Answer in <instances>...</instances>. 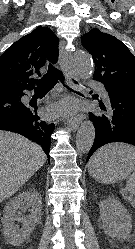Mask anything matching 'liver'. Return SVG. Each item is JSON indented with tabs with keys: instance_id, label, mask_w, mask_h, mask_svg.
I'll return each mask as SVG.
<instances>
[{
	"instance_id": "obj_1",
	"label": "liver",
	"mask_w": 135,
	"mask_h": 249,
	"mask_svg": "<svg viewBox=\"0 0 135 249\" xmlns=\"http://www.w3.org/2000/svg\"><path fill=\"white\" fill-rule=\"evenodd\" d=\"M46 160L38 144L21 135L0 131V202L16 193Z\"/></svg>"
}]
</instances>
